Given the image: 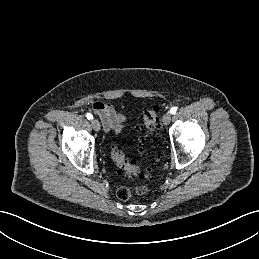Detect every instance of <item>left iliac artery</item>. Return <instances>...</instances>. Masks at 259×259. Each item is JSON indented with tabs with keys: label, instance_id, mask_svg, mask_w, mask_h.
<instances>
[{
	"label": "left iliac artery",
	"instance_id": "left-iliac-artery-1",
	"mask_svg": "<svg viewBox=\"0 0 259 259\" xmlns=\"http://www.w3.org/2000/svg\"><path fill=\"white\" fill-rule=\"evenodd\" d=\"M177 112V107H172L171 109H170V113L171 114H175Z\"/></svg>",
	"mask_w": 259,
	"mask_h": 259
}]
</instances>
